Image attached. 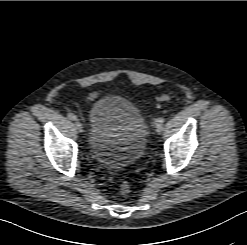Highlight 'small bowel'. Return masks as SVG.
Here are the masks:
<instances>
[{
	"instance_id": "1",
	"label": "small bowel",
	"mask_w": 247,
	"mask_h": 245,
	"mask_svg": "<svg viewBox=\"0 0 247 245\" xmlns=\"http://www.w3.org/2000/svg\"><path fill=\"white\" fill-rule=\"evenodd\" d=\"M100 93H101L100 90L90 92L84 99L88 101L94 100L100 95Z\"/></svg>"
}]
</instances>
